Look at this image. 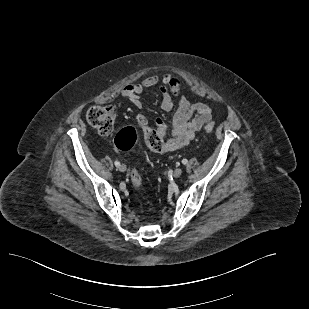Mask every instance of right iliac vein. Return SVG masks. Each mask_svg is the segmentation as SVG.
Here are the masks:
<instances>
[{
    "instance_id": "63e3f726",
    "label": "right iliac vein",
    "mask_w": 309,
    "mask_h": 309,
    "mask_svg": "<svg viewBox=\"0 0 309 309\" xmlns=\"http://www.w3.org/2000/svg\"><path fill=\"white\" fill-rule=\"evenodd\" d=\"M126 169H127V167H126V165H124V164H122V165L119 166V170H120L121 172H125Z\"/></svg>"
}]
</instances>
